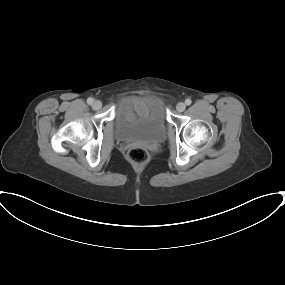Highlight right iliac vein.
Instances as JSON below:
<instances>
[{
	"mask_svg": "<svg viewBox=\"0 0 285 285\" xmlns=\"http://www.w3.org/2000/svg\"><path fill=\"white\" fill-rule=\"evenodd\" d=\"M101 107H102V103H101V101H99V100L94 101L93 104H92V108H93L94 110H98V109H100Z\"/></svg>",
	"mask_w": 285,
	"mask_h": 285,
	"instance_id": "right-iliac-vein-1",
	"label": "right iliac vein"
}]
</instances>
